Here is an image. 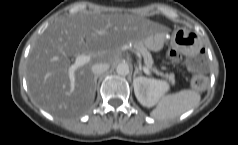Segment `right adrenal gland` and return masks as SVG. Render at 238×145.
Here are the masks:
<instances>
[{"label":"right adrenal gland","instance_id":"obj_1","mask_svg":"<svg viewBox=\"0 0 238 145\" xmlns=\"http://www.w3.org/2000/svg\"><path fill=\"white\" fill-rule=\"evenodd\" d=\"M98 77H99V76H96V77L94 78L95 88H96V86H97V79H98Z\"/></svg>","mask_w":238,"mask_h":145}]
</instances>
